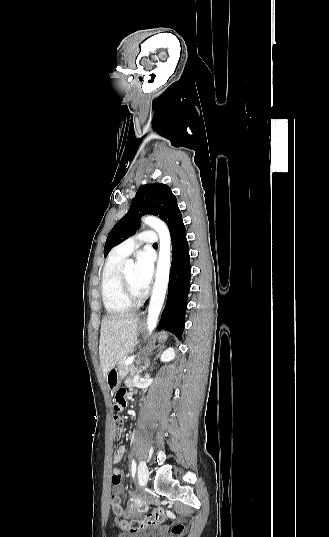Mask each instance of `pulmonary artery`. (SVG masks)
<instances>
[{"instance_id": "pulmonary-artery-1", "label": "pulmonary artery", "mask_w": 329, "mask_h": 537, "mask_svg": "<svg viewBox=\"0 0 329 537\" xmlns=\"http://www.w3.org/2000/svg\"><path fill=\"white\" fill-rule=\"evenodd\" d=\"M158 242V235L155 231H143L128 238L113 249V254L120 257L129 256L140 245H154Z\"/></svg>"}]
</instances>
